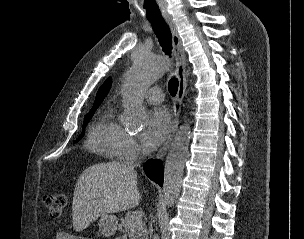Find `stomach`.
<instances>
[{
    "mask_svg": "<svg viewBox=\"0 0 304 239\" xmlns=\"http://www.w3.org/2000/svg\"><path fill=\"white\" fill-rule=\"evenodd\" d=\"M118 226V218L114 215L105 214L100 216L99 231L105 237L115 234Z\"/></svg>",
    "mask_w": 304,
    "mask_h": 239,
    "instance_id": "stomach-1",
    "label": "stomach"
}]
</instances>
